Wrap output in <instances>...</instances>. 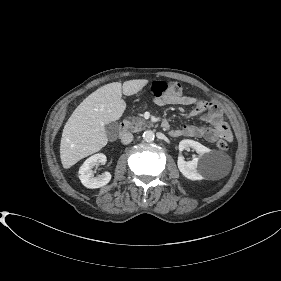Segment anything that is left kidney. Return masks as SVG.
Returning <instances> with one entry per match:
<instances>
[{"instance_id": "left-kidney-1", "label": "left kidney", "mask_w": 281, "mask_h": 281, "mask_svg": "<svg viewBox=\"0 0 281 281\" xmlns=\"http://www.w3.org/2000/svg\"><path fill=\"white\" fill-rule=\"evenodd\" d=\"M188 148L194 149L199 156L193 158L191 161H185L182 156L178 158V168L180 172L187 179L190 180H202L208 173L209 169V157L210 149L203 146L199 142L185 139L179 143V150H186Z\"/></svg>"}]
</instances>
